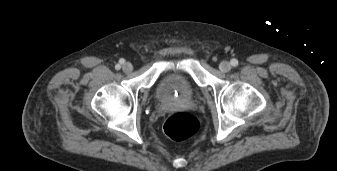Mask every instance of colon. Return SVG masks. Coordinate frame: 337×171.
<instances>
[{
	"label": "colon",
	"mask_w": 337,
	"mask_h": 171,
	"mask_svg": "<svg viewBox=\"0 0 337 171\" xmlns=\"http://www.w3.org/2000/svg\"><path fill=\"white\" fill-rule=\"evenodd\" d=\"M200 124L197 118L188 112H173L163 121L164 134L176 141H182L195 135Z\"/></svg>",
	"instance_id": "obj_1"
}]
</instances>
